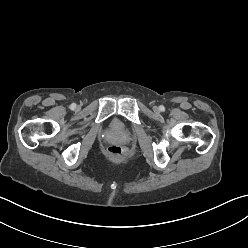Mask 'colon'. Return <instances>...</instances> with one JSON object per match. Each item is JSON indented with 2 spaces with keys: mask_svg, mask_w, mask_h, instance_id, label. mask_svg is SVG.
<instances>
[{
  "mask_svg": "<svg viewBox=\"0 0 248 248\" xmlns=\"http://www.w3.org/2000/svg\"><path fill=\"white\" fill-rule=\"evenodd\" d=\"M108 155L110 156L111 159L117 161V160H122L125 157L126 152L124 148L121 147L120 145H111L108 148Z\"/></svg>",
  "mask_w": 248,
  "mask_h": 248,
  "instance_id": "colon-1",
  "label": "colon"
}]
</instances>
